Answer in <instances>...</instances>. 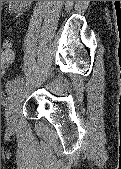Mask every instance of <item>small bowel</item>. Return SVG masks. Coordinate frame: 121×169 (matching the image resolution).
<instances>
[{
    "mask_svg": "<svg viewBox=\"0 0 121 169\" xmlns=\"http://www.w3.org/2000/svg\"><path fill=\"white\" fill-rule=\"evenodd\" d=\"M13 10L21 9L27 6L31 1H9Z\"/></svg>",
    "mask_w": 121,
    "mask_h": 169,
    "instance_id": "1",
    "label": "small bowel"
}]
</instances>
